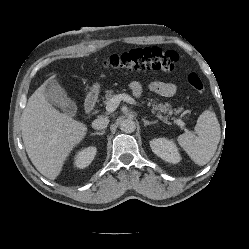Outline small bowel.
I'll return each mask as SVG.
<instances>
[{
  "label": "small bowel",
  "mask_w": 249,
  "mask_h": 249,
  "mask_svg": "<svg viewBox=\"0 0 249 249\" xmlns=\"http://www.w3.org/2000/svg\"><path fill=\"white\" fill-rule=\"evenodd\" d=\"M130 88L135 96H140L142 93V86L139 82L133 81L130 83ZM149 89L161 96L171 97L176 93L177 86L174 83H167L162 81H154L149 85Z\"/></svg>",
  "instance_id": "small-bowel-1"
}]
</instances>
